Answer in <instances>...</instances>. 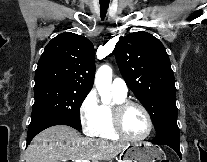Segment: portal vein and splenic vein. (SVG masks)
I'll use <instances>...</instances> for the list:
<instances>
[{
    "label": "portal vein and splenic vein",
    "mask_w": 207,
    "mask_h": 162,
    "mask_svg": "<svg viewBox=\"0 0 207 162\" xmlns=\"http://www.w3.org/2000/svg\"><path fill=\"white\" fill-rule=\"evenodd\" d=\"M63 162H66V160H64ZM75 162H90L89 160H76Z\"/></svg>",
    "instance_id": "18ae733b"
}]
</instances>
